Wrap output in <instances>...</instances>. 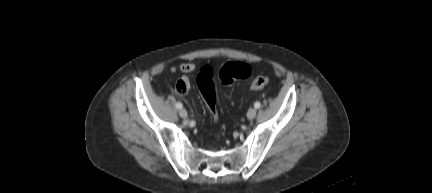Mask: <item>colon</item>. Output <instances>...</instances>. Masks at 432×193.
<instances>
[{
    "mask_svg": "<svg viewBox=\"0 0 432 193\" xmlns=\"http://www.w3.org/2000/svg\"><path fill=\"white\" fill-rule=\"evenodd\" d=\"M250 73L251 68L246 63L239 61L227 62L220 68L218 79L223 84H232L240 79L247 78ZM268 82L269 78L266 75H258L252 79L250 87L252 90H260L263 89ZM197 85L213 120L217 122L218 109L211 67L205 66L201 69L197 78Z\"/></svg>",
    "mask_w": 432,
    "mask_h": 193,
    "instance_id": "1",
    "label": "colon"
}]
</instances>
